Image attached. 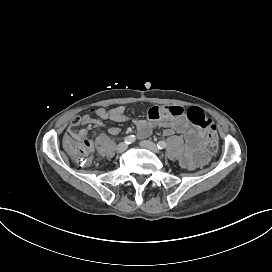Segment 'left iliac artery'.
<instances>
[{"label": "left iliac artery", "instance_id": "1", "mask_svg": "<svg viewBox=\"0 0 272 272\" xmlns=\"http://www.w3.org/2000/svg\"><path fill=\"white\" fill-rule=\"evenodd\" d=\"M166 146H167V144H166L165 141H159V142L157 143L158 149H164V148H166Z\"/></svg>", "mask_w": 272, "mask_h": 272}]
</instances>
